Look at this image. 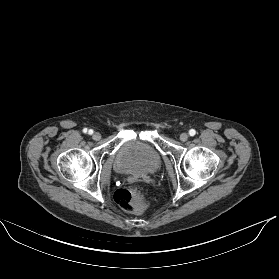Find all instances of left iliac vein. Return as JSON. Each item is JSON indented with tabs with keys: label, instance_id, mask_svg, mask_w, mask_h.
Instances as JSON below:
<instances>
[{
	"label": "left iliac vein",
	"instance_id": "1",
	"mask_svg": "<svg viewBox=\"0 0 279 279\" xmlns=\"http://www.w3.org/2000/svg\"><path fill=\"white\" fill-rule=\"evenodd\" d=\"M188 134L187 133H182L181 135H180V140L181 141H183V142H185V141H187L188 140Z\"/></svg>",
	"mask_w": 279,
	"mask_h": 279
}]
</instances>
